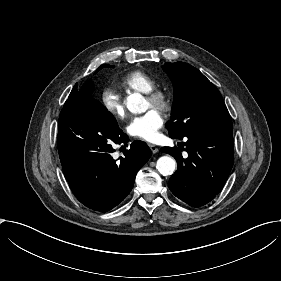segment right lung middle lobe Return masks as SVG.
Instances as JSON below:
<instances>
[{"label": "right lung middle lobe", "instance_id": "1", "mask_svg": "<svg viewBox=\"0 0 281 281\" xmlns=\"http://www.w3.org/2000/svg\"><path fill=\"white\" fill-rule=\"evenodd\" d=\"M105 67H112L111 65L105 64Z\"/></svg>", "mask_w": 281, "mask_h": 281}]
</instances>
